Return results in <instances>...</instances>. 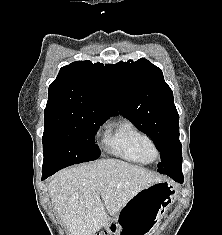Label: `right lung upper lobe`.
Returning a JSON list of instances; mask_svg holds the SVG:
<instances>
[{"mask_svg": "<svg viewBox=\"0 0 222 235\" xmlns=\"http://www.w3.org/2000/svg\"><path fill=\"white\" fill-rule=\"evenodd\" d=\"M60 111L118 114L107 70L101 63L76 61L60 69L50 84L44 114Z\"/></svg>", "mask_w": 222, "mask_h": 235, "instance_id": "1", "label": "right lung upper lobe"}]
</instances>
